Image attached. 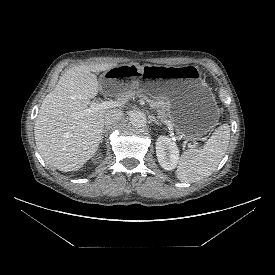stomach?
<instances>
[{
	"mask_svg": "<svg viewBox=\"0 0 275 275\" xmlns=\"http://www.w3.org/2000/svg\"><path fill=\"white\" fill-rule=\"evenodd\" d=\"M101 90L121 94L139 89L169 103V118L177 135L196 141L218 122L220 109L210 86L195 65L123 64L105 71Z\"/></svg>",
	"mask_w": 275,
	"mask_h": 275,
	"instance_id": "0dacf381",
	"label": "stomach"
}]
</instances>
